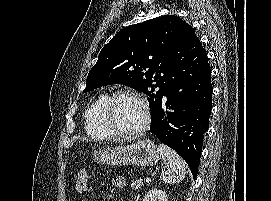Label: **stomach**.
Wrapping results in <instances>:
<instances>
[{"mask_svg": "<svg viewBox=\"0 0 271 201\" xmlns=\"http://www.w3.org/2000/svg\"><path fill=\"white\" fill-rule=\"evenodd\" d=\"M160 158L159 149L148 139L127 146H108L93 152L95 162L112 166H153Z\"/></svg>", "mask_w": 271, "mask_h": 201, "instance_id": "stomach-1", "label": "stomach"}]
</instances>
